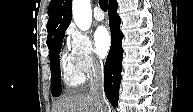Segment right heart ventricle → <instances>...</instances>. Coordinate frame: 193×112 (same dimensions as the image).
Segmentation results:
<instances>
[{
	"label": "right heart ventricle",
	"mask_w": 193,
	"mask_h": 112,
	"mask_svg": "<svg viewBox=\"0 0 193 112\" xmlns=\"http://www.w3.org/2000/svg\"><path fill=\"white\" fill-rule=\"evenodd\" d=\"M63 83L69 88H77L84 82V75L78 69L72 54L63 52L60 58Z\"/></svg>",
	"instance_id": "right-heart-ventricle-1"
}]
</instances>
